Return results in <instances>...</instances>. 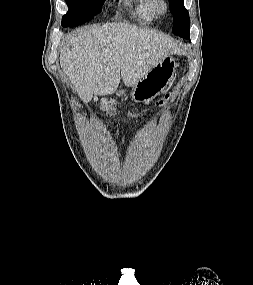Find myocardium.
Returning <instances> with one entry per match:
<instances>
[{"label": "myocardium", "instance_id": "myocardium-1", "mask_svg": "<svg viewBox=\"0 0 253 285\" xmlns=\"http://www.w3.org/2000/svg\"><path fill=\"white\" fill-rule=\"evenodd\" d=\"M152 8L156 15H164L168 12L169 4L167 0H152Z\"/></svg>", "mask_w": 253, "mask_h": 285}]
</instances>
